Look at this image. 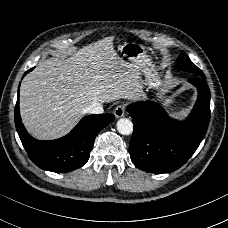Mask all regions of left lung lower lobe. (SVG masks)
<instances>
[{
    "label": "left lung lower lobe",
    "instance_id": "1",
    "mask_svg": "<svg viewBox=\"0 0 228 228\" xmlns=\"http://www.w3.org/2000/svg\"><path fill=\"white\" fill-rule=\"evenodd\" d=\"M198 89L197 102L184 121L169 118L155 102H136L127 111L134 124L129 144L132 162L151 173L183 166L203 140L210 119V90L202 77L189 80Z\"/></svg>",
    "mask_w": 228,
    "mask_h": 228
}]
</instances>
